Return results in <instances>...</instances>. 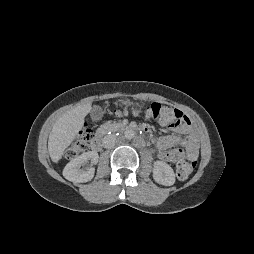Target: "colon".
I'll return each instance as SVG.
<instances>
[{"mask_svg":"<svg viewBox=\"0 0 254 254\" xmlns=\"http://www.w3.org/2000/svg\"><path fill=\"white\" fill-rule=\"evenodd\" d=\"M120 114V111L116 112ZM146 114L162 124L172 127H182L191 124L190 118L182 111L173 108L167 104L153 102L146 107ZM90 133L83 129L75 141L67 148L65 156L69 159L76 157L80 152L87 149V142L90 139ZM196 168L195 160H181L176 166V174L179 179L188 178Z\"/></svg>","mask_w":254,"mask_h":254,"instance_id":"5ec220e1","label":"colon"}]
</instances>
